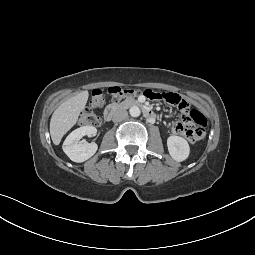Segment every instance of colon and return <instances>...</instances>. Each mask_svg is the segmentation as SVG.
I'll use <instances>...</instances> for the list:
<instances>
[{"instance_id":"colon-1","label":"colon","mask_w":255,"mask_h":255,"mask_svg":"<svg viewBox=\"0 0 255 255\" xmlns=\"http://www.w3.org/2000/svg\"><path fill=\"white\" fill-rule=\"evenodd\" d=\"M109 95L118 100L125 96H132L138 93V89L123 88L113 86L108 89ZM144 95L149 99H162L167 103L178 105L180 99L169 93H159L151 89H146ZM104 103V93L100 89H96L92 93L90 105L86 108L79 119L81 126H97L100 124V118L95 113V110L100 108ZM184 116V123L178 129V133L183 135L189 142L196 143L204 137V127L207 125V118L204 114L197 110L184 109L182 112Z\"/></svg>"}]
</instances>
